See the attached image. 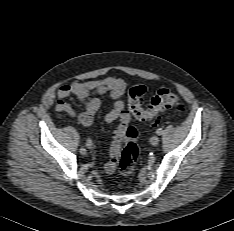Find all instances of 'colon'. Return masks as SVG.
<instances>
[{
  "label": "colon",
  "instance_id": "obj_1",
  "mask_svg": "<svg viewBox=\"0 0 234 231\" xmlns=\"http://www.w3.org/2000/svg\"><path fill=\"white\" fill-rule=\"evenodd\" d=\"M145 93V86L136 85L130 89L128 96L129 110L141 122H152L161 112L179 106L180 99L178 95L170 89L157 91L148 106H144ZM136 137V129L126 123L121 124L113 135L110 153L119 173L124 177L133 174L139 157L140 150L136 143ZM121 142H124L122 150Z\"/></svg>",
  "mask_w": 234,
  "mask_h": 231
}]
</instances>
